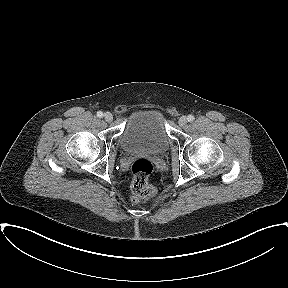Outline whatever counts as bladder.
I'll use <instances>...</instances> for the list:
<instances>
[{"label":"bladder","mask_w":288,"mask_h":288,"mask_svg":"<svg viewBox=\"0 0 288 288\" xmlns=\"http://www.w3.org/2000/svg\"><path fill=\"white\" fill-rule=\"evenodd\" d=\"M168 146L169 138L160 111L137 110L128 117L121 135L124 151L162 154Z\"/></svg>","instance_id":"31cf9c89"}]
</instances>
